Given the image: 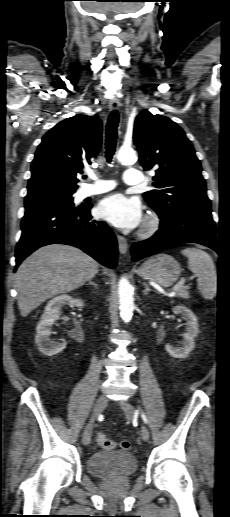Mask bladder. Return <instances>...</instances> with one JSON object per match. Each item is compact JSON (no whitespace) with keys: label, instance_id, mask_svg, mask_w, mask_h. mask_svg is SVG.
I'll return each instance as SVG.
<instances>
[{"label":"bladder","instance_id":"31cf9c89","mask_svg":"<svg viewBox=\"0 0 230 517\" xmlns=\"http://www.w3.org/2000/svg\"><path fill=\"white\" fill-rule=\"evenodd\" d=\"M87 469L99 478H126L136 472L137 460L125 451L97 452L88 459Z\"/></svg>","mask_w":230,"mask_h":517}]
</instances>
